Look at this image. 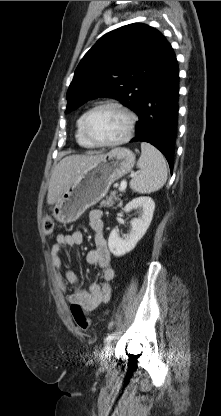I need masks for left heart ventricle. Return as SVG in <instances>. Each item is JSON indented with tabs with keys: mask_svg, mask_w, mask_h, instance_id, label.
I'll use <instances>...</instances> for the list:
<instances>
[{
	"mask_svg": "<svg viewBox=\"0 0 221 416\" xmlns=\"http://www.w3.org/2000/svg\"><path fill=\"white\" fill-rule=\"evenodd\" d=\"M127 128V117L114 107L97 110L89 119L88 130L99 141H111L121 137Z\"/></svg>",
	"mask_w": 221,
	"mask_h": 416,
	"instance_id": "obj_1",
	"label": "left heart ventricle"
}]
</instances>
